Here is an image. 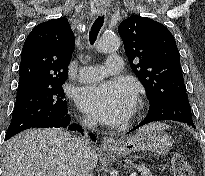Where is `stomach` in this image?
<instances>
[{"label":"stomach","instance_id":"1","mask_svg":"<svg viewBox=\"0 0 205 176\" xmlns=\"http://www.w3.org/2000/svg\"><path fill=\"white\" fill-rule=\"evenodd\" d=\"M165 125L150 124L141 128L136 135L120 139L109 148L114 155H127L132 152L151 151L157 155L165 154L172 147V137L164 132Z\"/></svg>","mask_w":205,"mask_h":176}]
</instances>
